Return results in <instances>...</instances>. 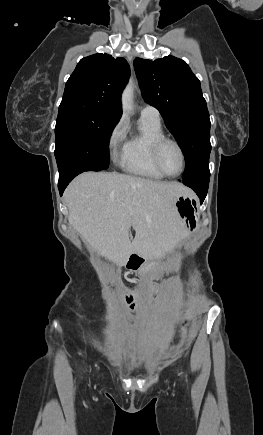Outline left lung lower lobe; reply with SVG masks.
<instances>
[{"label": "left lung lower lobe", "mask_w": 263, "mask_h": 435, "mask_svg": "<svg viewBox=\"0 0 263 435\" xmlns=\"http://www.w3.org/2000/svg\"><path fill=\"white\" fill-rule=\"evenodd\" d=\"M209 177V167H206L182 179L184 185L192 188L196 192V194L200 198L201 204L203 203L208 191Z\"/></svg>", "instance_id": "1"}]
</instances>
